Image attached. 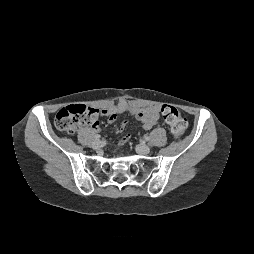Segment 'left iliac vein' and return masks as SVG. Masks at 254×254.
<instances>
[{
	"label": "left iliac vein",
	"instance_id": "left-iliac-vein-1",
	"mask_svg": "<svg viewBox=\"0 0 254 254\" xmlns=\"http://www.w3.org/2000/svg\"><path fill=\"white\" fill-rule=\"evenodd\" d=\"M136 151L140 154H148L150 152V147L146 144H139L136 146Z\"/></svg>",
	"mask_w": 254,
	"mask_h": 254
}]
</instances>
